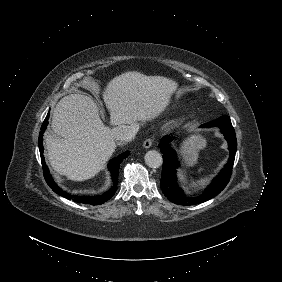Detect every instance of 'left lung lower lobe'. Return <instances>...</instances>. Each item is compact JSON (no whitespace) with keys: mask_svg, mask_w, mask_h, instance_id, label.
Returning a JSON list of instances; mask_svg holds the SVG:
<instances>
[{"mask_svg":"<svg viewBox=\"0 0 282 282\" xmlns=\"http://www.w3.org/2000/svg\"><path fill=\"white\" fill-rule=\"evenodd\" d=\"M216 126L221 129L222 134L225 136L230 156L228 163L221 170L219 175L213 180L211 185L198 197H187L183 190L179 188L176 180V167L178 166L177 155L170 146L171 138L165 136L161 139L159 147L163 153V167L161 176V189L164 195L173 203L178 205H195L205 202L216 195H218L228 184L231 174L233 163L235 159L237 140L234 128L231 124L230 117L227 115L201 125L200 127Z\"/></svg>","mask_w":282,"mask_h":282,"instance_id":"1","label":"left lung lower lobe"}]
</instances>
